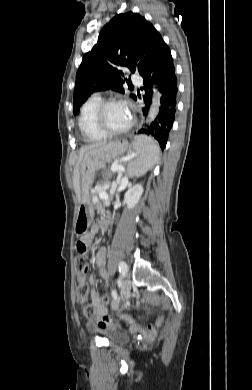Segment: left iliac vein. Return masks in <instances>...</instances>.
I'll use <instances>...</instances> for the list:
<instances>
[{"label": "left iliac vein", "mask_w": 252, "mask_h": 390, "mask_svg": "<svg viewBox=\"0 0 252 390\" xmlns=\"http://www.w3.org/2000/svg\"><path fill=\"white\" fill-rule=\"evenodd\" d=\"M130 290H131V283L128 278H125L122 282V287H121V298L123 302H125L130 295Z\"/></svg>", "instance_id": "obj_1"}]
</instances>
